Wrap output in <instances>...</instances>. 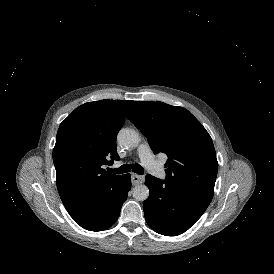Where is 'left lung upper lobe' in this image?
Returning a JSON list of instances; mask_svg holds the SVG:
<instances>
[{"label": "left lung upper lobe", "instance_id": "obj_1", "mask_svg": "<svg viewBox=\"0 0 274 274\" xmlns=\"http://www.w3.org/2000/svg\"><path fill=\"white\" fill-rule=\"evenodd\" d=\"M127 118L147 137L155 153H165L166 180L213 195L218 162L210 135L185 108L136 101Z\"/></svg>", "mask_w": 274, "mask_h": 274}]
</instances>
